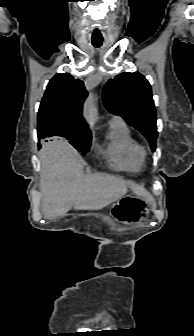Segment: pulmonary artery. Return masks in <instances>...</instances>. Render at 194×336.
Segmentation results:
<instances>
[{
    "label": "pulmonary artery",
    "instance_id": "obj_1",
    "mask_svg": "<svg viewBox=\"0 0 194 336\" xmlns=\"http://www.w3.org/2000/svg\"><path fill=\"white\" fill-rule=\"evenodd\" d=\"M121 123H123V121H122V119L119 118V117H112V118H110V120H109V124H110V125H117V124H121Z\"/></svg>",
    "mask_w": 194,
    "mask_h": 336
}]
</instances>
